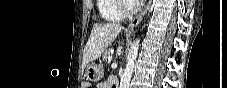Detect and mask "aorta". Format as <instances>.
I'll use <instances>...</instances> for the list:
<instances>
[{"label":"aorta","instance_id":"762f6f07","mask_svg":"<svg viewBox=\"0 0 227 88\" xmlns=\"http://www.w3.org/2000/svg\"><path fill=\"white\" fill-rule=\"evenodd\" d=\"M139 43H140V40L136 39L131 44V47H130V50H129V53L127 56L126 68H125L123 76L121 78L120 88H129L130 80H131L134 66H135V61H136V58L138 55Z\"/></svg>","mask_w":227,"mask_h":88}]
</instances>
